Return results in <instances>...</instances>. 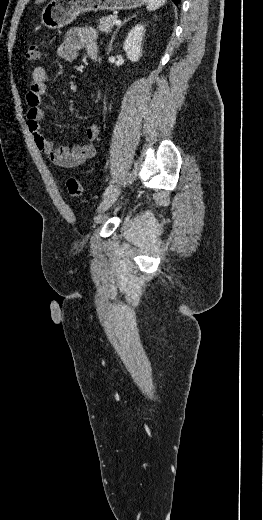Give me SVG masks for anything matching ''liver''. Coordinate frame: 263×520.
<instances>
[{"label":"liver","mask_w":263,"mask_h":520,"mask_svg":"<svg viewBox=\"0 0 263 520\" xmlns=\"http://www.w3.org/2000/svg\"><path fill=\"white\" fill-rule=\"evenodd\" d=\"M44 1H46V0H35V4H40V3H43Z\"/></svg>","instance_id":"6515ba94"}]
</instances>
